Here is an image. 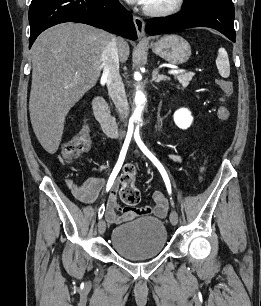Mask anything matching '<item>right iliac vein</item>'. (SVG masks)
<instances>
[{"instance_id": "63e3f726", "label": "right iliac vein", "mask_w": 261, "mask_h": 306, "mask_svg": "<svg viewBox=\"0 0 261 306\" xmlns=\"http://www.w3.org/2000/svg\"><path fill=\"white\" fill-rule=\"evenodd\" d=\"M105 230H106V223H105V221L102 219V220H100L99 223H98V232L102 235V234H104Z\"/></svg>"}]
</instances>
